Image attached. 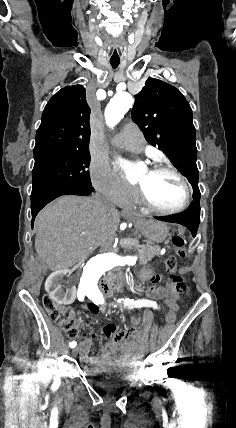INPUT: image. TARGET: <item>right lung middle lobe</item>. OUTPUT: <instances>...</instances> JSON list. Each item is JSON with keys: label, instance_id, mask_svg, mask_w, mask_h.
Segmentation results:
<instances>
[{"label": "right lung middle lobe", "instance_id": "right-lung-middle-lobe-1", "mask_svg": "<svg viewBox=\"0 0 236 428\" xmlns=\"http://www.w3.org/2000/svg\"><path fill=\"white\" fill-rule=\"evenodd\" d=\"M32 193L37 194L64 187H92L89 171V149L34 151Z\"/></svg>", "mask_w": 236, "mask_h": 428}]
</instances>
